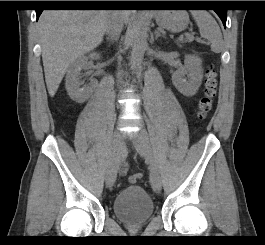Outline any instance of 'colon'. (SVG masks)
<instances>
[{
	"mask_svg": "<svg viewBox=\"0 0 265 245\" xmlns=\"http://www.w3.org/2000/svg\"><path fill=\"white\" fill-rule=\"evenodd\" d=\"M217 78L215 73V67L213 64L208 65L205 80H204V89L203 95L199 100L198 106V117L203 119L211 111L213 106V99L216 96L217 92ZM142 173H134L130 177V182L135 183L142 178Z\"/></svg>",
	"mask_w": 265,
	"mask_h": 245,
	"instance_id": "1",
	"label": "colon"
}]
</instances>
